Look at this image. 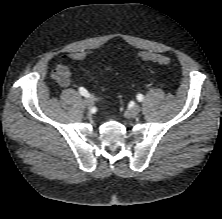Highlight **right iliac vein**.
Listing matches in <instances>:
<instances>
[{"mask_svg": "<svg viewBox=\"0 0 222 219\" xmlns=\"http://www.w3.org/2000/svg\"><path fill=\"white\" fill-rule=\"evenodd\" d=\"M84 103H85V105L87 106V107H92L93 106V101L91 100V99H89V98H86L85 100H84Z\"/></svg>", "mask_w": 222, "mask_h": 219, "instance_id": "1", "label": "right iliac vein"}]
</instances>
